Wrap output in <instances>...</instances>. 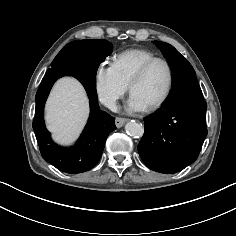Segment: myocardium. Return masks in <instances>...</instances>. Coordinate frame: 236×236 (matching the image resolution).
I'll return each mask as SVG.
<instances>
[{
	"mask_svg": "<svg viewBox=\"0 0 236 236\" xmlns=\"http://www.w3.org/2000/svg\"><path fill=\"white\" fill-rule=\"evenodd\" d=\"M156 63H163L167 67L169 74L168 85L163 96L158 101L147 107V110L149 111H154L162 107L167 102L172 93L175 79L172 64L165 58L155 57L142 65V67L135 74L129 85V91L130 94H132L133 89L144 79L151 67Z\"/></svg>",
	"mask_w": 236,
	"mask_h": 236,
	"instance_id": "myocardium-1",
	"label": "myocardium"
}]
</instances>
